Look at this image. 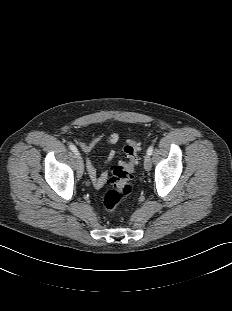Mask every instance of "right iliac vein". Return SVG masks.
Instances as JSON below:
<instances>
[{
  "instance_id": "obj_1",
  "label": "right iliac vein",
  "mask_w": 232,
  "mask_h": 311,
  "mask_svg": "<svg viewBox=\"0 0 232 311\" xmlns=\"http://www.w3.org/2000/svg\"><path fill=\"white\" fill-rule=\"evenodd\" d=\"M77 170L80 175L84 172V161L80 154L77 155Z\"/></svg>"
}]
</instances>
